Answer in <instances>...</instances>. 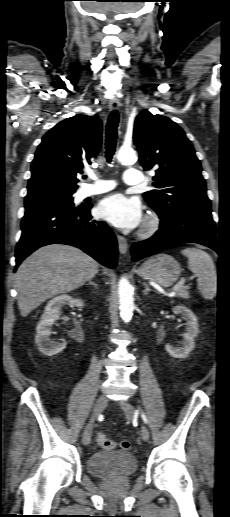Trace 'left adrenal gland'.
<instances>
[{
  "mask_svg": "<svg viewBox=\"0 0 230 517\" xmlns=\"http://www.w3.org/2000/svg\"><path fill=\"white\" fill-rule=\"evenodd\" d=\"M143 285L145 286V290L143 291L144 295H147L150 291H152L147 283L144 282Z\"/></svg>",
  "mask_w": 230,
  "mask_h": 517,
  "instance_id": "obj_1",
  "label": "left adrenal gland"
}]
</instances>
